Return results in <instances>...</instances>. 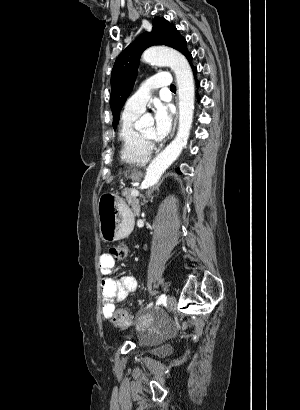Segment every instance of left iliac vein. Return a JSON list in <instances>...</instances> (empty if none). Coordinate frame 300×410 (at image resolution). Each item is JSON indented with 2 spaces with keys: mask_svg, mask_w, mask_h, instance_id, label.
I'll list each match as a JSON object with an SVG mask.
<instances>
[{
  "mask_svg": "<svg viewBox=\"0 0 300 410\" xmlns=\"http://www.w3.org/2000/svg\"><path fill=\"white\" fill-rule=\"evenodd\" d=\"M168 309H173L176 307V298L174 296L168 297L166 301Z\"/></svg>",
  "mask_w": 300,
  "mask_h": 410,
  "instance_id": "obj_1",
  "label": "left iliac vein"
}]
</instances>
